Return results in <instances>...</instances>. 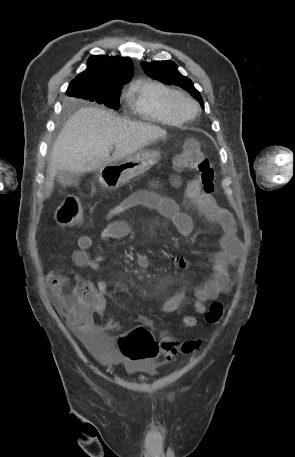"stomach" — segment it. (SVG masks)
Returning a JSON list of instances; mask_svg holds the SVG:
<instances>
[{"label":"stomach","mask_w":295,"mask_h":457,"mask_svg":"<svg viewBox=\"0 0 295 457\" xmlns=\"http://www.w3.org/2000/svg\"><path fill=\"white\" fill-rule=\"evenodd\" d=\"M160 159L159 150H139L100 168L98 171L99 182L105 189H117L134 177L148 171Z\"/></svg>","instance_id":"0dacf381"}]
</instances>
